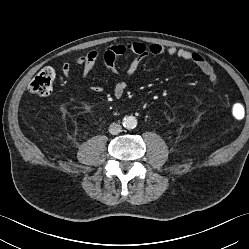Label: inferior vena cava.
<instances>
[{
	"mask_svg": "<svg viewBox=\"0 0 249 249\" xmlns=\"http://www.w3.org/2000/svg\"><path fill=\"white\" fill-rule=\"evenodd\" d=\"M121 130H122V127H121V125L118 124V123H112V124H110V126H109V132H110L111 134H113V135H116V134L120 133Z\"/></svg>",
	"mask_w": 249,
	"mask_h": 249,
	"instance_id": "602c4592",
	"label": "inferior vena cava"
}]
</instances>
